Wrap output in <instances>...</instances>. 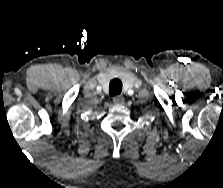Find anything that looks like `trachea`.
I'll use <instances>...</instances> for the list:
<instances>
[{"instance_id": "trachea-1", "label": "trachea", "mask_w": 223, "mask_h": 188, "mask_svg": "<svg viewBox=\"0 0 223 188\" xmlns=\"http://www.w3.org/2000/svg\"><path fill=\"white\" fill-rule=\"evenodd\" d=\"M122 91V82L119 79H113L111 80L110 84H109V94L111 96H115L120 94Z\"/></svg>"}]
</instances>
